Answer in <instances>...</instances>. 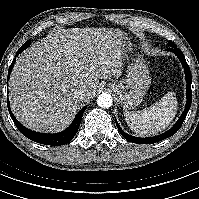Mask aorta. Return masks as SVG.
Instances as JSON below:
<instances>
[{"instance_id": "762f6f07", "label": "aorta", "mask_w": 199, "mask_h": 199, "mask_svg": "<svg viewBox=\"0 0 199 199\" xmlns=\"http://www.w3.org/2000/svg\"><path fill=\"white\" fill-rule=\"evenodd\" d=\"M113 100L112 96L108 93H101L97 97V104L101 108H109L112 106Z\"/></svg>"}]
</instances>
